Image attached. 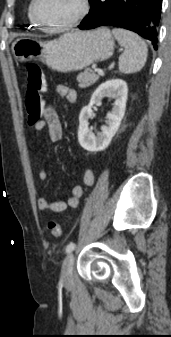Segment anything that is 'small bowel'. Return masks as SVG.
<instances>
[{
	"label": "small bowel",
	"instance_id": "1",
	"mask_svg": "<svg viewBox=\"0 0 171 337\" xmlns=\"http://www.w3.org/2000/svg\"><path fill=\"white\" fill-rule=\"evenodd\" d=\"M58 96L65 98L69 103L74 104L77 101V92L66 86L58 85L55 88ZM44 115L42 120L35 125V130L41 133L47 129L48 137L51 142H58L63 137V128L54 106L48 102L47 106L43 108ZM38 177L41 181L48 179V173L44 168L38 172ZM83 185L90 186L94 182V173L91 169H86L82 176ZM83 185L77 184L72 188L71 196L67 200H51L47 196H41L38 199V207L41 210H49L55 213H61L68 208H75L79 205L80 198L83 195Z\"/></svg>",
	"mask_w": 171,
	"mask_h": 337
}]
</instances>
